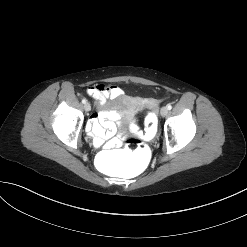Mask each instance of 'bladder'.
Returning <instances> with one entry per match:
<instances>
[{
    "instance_id": "bladder-1",
    "label": "bladder",
    "mask_w": 247,
    "mask_h": 247,
    "mask_svg": "<svg viewBox=\"0 0 247 247\" xmlns=\"http://www.w3.org/2000/svg\"><path fill=\"white\" fill-rule=\"evenodd\" d=\"M106 109H117L131 111L133 109V102L127 97L116 98L105 103Z\"/></svg>"
}]
</instances>
